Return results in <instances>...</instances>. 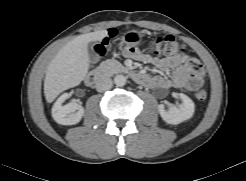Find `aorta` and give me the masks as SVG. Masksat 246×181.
<instances>
[{"label": "aorta", "instance_id": "1", "mask_svg": "<svg viewBox=\"0 0 246 181\" xmlns=\"http://www.w3.org/2000/svg\"><path fill=\"white\" fill-rule=\"evenodd\" d=\"M114 83L116 84V86L122 87L126 84V77L123 75H117L114 78Z\"/></svg>", "mask_w": 246, "mask_h": 181}]
</instances>
